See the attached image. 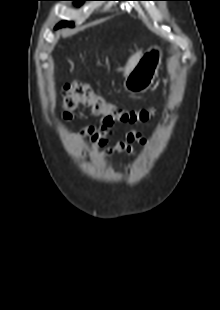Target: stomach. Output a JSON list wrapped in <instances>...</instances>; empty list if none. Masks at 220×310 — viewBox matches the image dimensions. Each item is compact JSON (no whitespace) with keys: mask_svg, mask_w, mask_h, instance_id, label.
Instances as JSON below:
<instances>
[{"mask_svg":"<svg viewBox=\"0 0 220 310\" xmlns=\"http://www.w3.org/2000/svg\"><path fill=\"white\" fill-rule=\"evenodd\" d=\"M163 51L152 46L145 51L124 81V89L130 93H142L151 87L157 77Z\"/></svg>","mask_w":220,"mask_h":310,"instance_id":"1","label":"stomach"}]
</instances>
